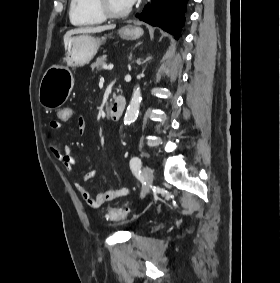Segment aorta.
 Returning a JSON list of instances; mask_svg holds the SVG:
<instances>
[{
	"mask_svg": "<svg viewBox=\"0 0 280 283\" xmlns=\"http://www.w3.org/2000/svg\"><path fill=\"white\" fill-rule=\"evenodd\" d=\"M141 99L142 98H141L140 87L137 86V87H135V89L133 91L130 104H129L127 111L125 113L124 124L129 125L137 119Z\"/></svg>",
	"mask_w": 280,
	"mask_h": 283,
	"instance_id": "obj_1",
	"label": "aorta"
}]
</instances>
